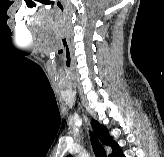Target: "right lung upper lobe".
I'll use <instances>...</instances> for the list:
<instances>
[{
  "label": "right lung upper lobe",
  "mask_w": 164,
  "mask_h": 157,
  "mask_svg": "<svg viewBox=\"0 0 164 157\" xmlns=\"http://www.w3.org/2000/svg\"><path fill=\"white\" fill-rule=\"evenodd\" d=\"M91 123L100 141L104 145L110 146L113 150L116 149L118 144L113 140V137L109 135L108 129L95 120H92ZM67 157H72V156L69 155Z\"/></svg>",
  "instance_id": "obj_1"
}]
</instances>
